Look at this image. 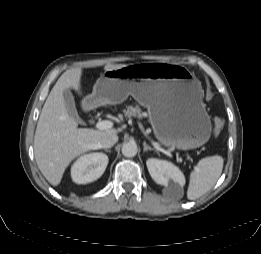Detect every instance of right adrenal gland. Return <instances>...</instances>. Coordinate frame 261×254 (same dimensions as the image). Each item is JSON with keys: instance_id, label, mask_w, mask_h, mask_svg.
<instances>
[{"instance_id": "obj_1", "label": "right adrenal gland", "mask_w": 261, "mask_h": 254, "mask_svg": "<svg viewBox=\"0 0 261 254\" xmlns=\"http://www.w3.org/2000/svg\"><path fill=\"white\" fill-rule=\"evenodd\" d=\"M103 150H104L105 152H109V153L111 152V150H110V149H107V148H104Z\"/></svg>"}]
</instances>
